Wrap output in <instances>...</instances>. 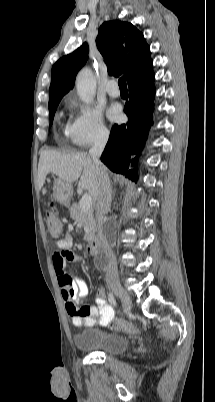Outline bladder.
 I'll return each instance as SVG.
<instances>
[{"label": "bladder", "instance_id": "31cf9c89", "mask_svg": "<svg viewBox=\"0 0 215 402\" xmlns=\"http://www.w3.org/2000/svg\"><path fill=\"white\" fill-rule=\"evenodd\" d=\"M74 344L80 351L104 355H119L129 347L126 337L97 329L86 330L74 336Z\"/></svg>", "mask_w": 215, "mask_h": 402}]
</instances>
